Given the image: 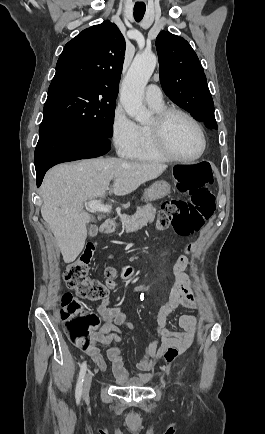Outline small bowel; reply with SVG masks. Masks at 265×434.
<instances>
[{
  "instance_id": "obj_1",
  "label": "small bowel",
  "mask_w": 265,
  "mask_h": 434,
  "mask_svg": "<svg viewBox=\"0 0 265 434\" xmlns=\"http://www.w3.org/2000/svg\"><path fill=\"white\" fill-rule=\"evenodd\" d=\"M191 245L181 253L172 267L173 283L167 290L166 298L154 318L155 335L148 341L143 349L141 359L136 364L137 373L129 372L121 356L123 348V335L133 331L134 326L128 319L126 312L120 308H110V300L106 299L96 313L103 319L101 327L95 331L91 338L87 353L94 359L95 364L103 362L100 354L101 347H107L106 356L111 362L112 372L118 387H140L142 378L150 377V370L156 360L165 352L168 340L178 341L180 353L188 350L196 341L199 331L200 318L191 314H183L178 318L182 331L171 330L166 322L171 313L179 308H197V297L193 291V281L187 275ZM151 285H136L132 291L143 294L151 289ZM124 328V329H123ZM83 352V353H86ZM131 377V378H129Z\"/></svg>"
}]
</instances>
